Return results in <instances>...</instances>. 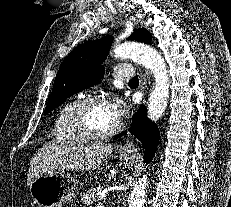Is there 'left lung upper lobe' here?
Here are the masks:
<instances>
[{
  "label": "left lung upper lobe",
  "instance_id": "1",
  "mask_svg": "<svg viewBox=\"0 0 231 207\" xmlns=\"http://www.w3.org/2000/svg\"><path fill=\"white\" fill-rule=\"evenodd\" d=\"M150 33L137 29L128 40L150 43ZM113 37L87 42L75 48L62 62L55 77L52 93L44 113L51 112L68 97L98 84L105 69L101 65L107 58Z\"/></svg>",
  "mask_w": 231,
  "mask_h": 207
}]
</instances>
